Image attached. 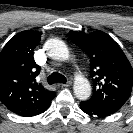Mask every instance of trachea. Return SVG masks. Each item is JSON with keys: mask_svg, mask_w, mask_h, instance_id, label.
<instances>
[{"mask_svg": "<svg viewBox=\"0 0 133 133\" xmlns=\"http://www.w3.org/2000/svg\"><path fill=\"white\" fill-rule=\"evenodd\" d=\"M48 84H54V83H66V78L64 75L58 73V72H53L47 79Z\"/></svg>", "mask_w": 133, "mask_h": 133, "instance_id": "1", "label": "trachea"}]
</instances>
